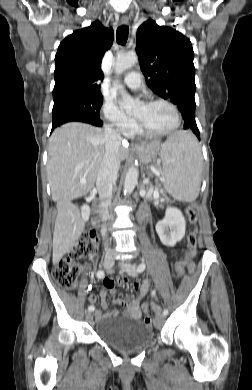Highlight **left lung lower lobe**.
Segmentation results:
<instances>
[{
	"label": "left lung lower lobe",
	"mask_w": 252,
	"mask_h": 390,
	"mask_svg": "<svg viewBox=\"0 0 252 390\" xmlns=\"http://www.w3.org/2000/svg\"><path fill=\"white\" fill-rule=\"evenodd\" d=\"M183 119H184V128L191 129L197 135V137L200 138L199 130L197 128L196 121H195V115L188 114Z\"/></svg>",
	"instance_id": "obj_1"
}]
</instances>
